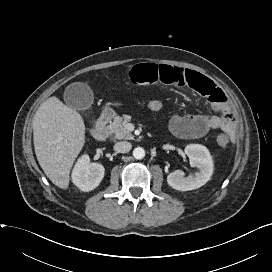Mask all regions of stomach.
I'll return each mask as SVG.
<instances>
[{
	"label": "stomach",
	"mask_w": 272,
	"mask_h": 272,
	"mask_svg": "<svg viewBox=\"0 0 272 272\" xmlns=\"http://www.w3.org/2000/svg\"><path fill=\"white\" fill-rule=\"evenodd\" d=\"M115 105H116V106H120L121 104H120L119 102H116Z\"/></svg>",
	"instance_id": "0dacf381"
}]
</instances>
